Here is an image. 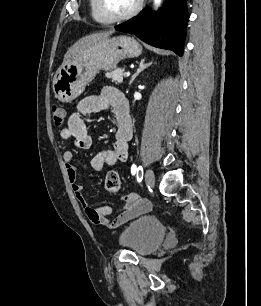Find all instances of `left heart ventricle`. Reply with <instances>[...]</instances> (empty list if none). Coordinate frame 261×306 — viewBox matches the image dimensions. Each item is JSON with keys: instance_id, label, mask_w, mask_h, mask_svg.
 <instances>
[{"instance_id": "left-heart-ventricle-1", "label": "left heart ventricle", "mask_w": 261, "mask_h": 306, "mask_svg": "<svg viewBox=\"0 0 261 306\" xmlns=\"http://www.w3.org/2000/svg\"><path fill=\"white\" fill-rule=\"evenodd\" d=\"M138 0H106L108 8L114 14L121 15L130 11Z\"/></svg>"}]
</instances>
